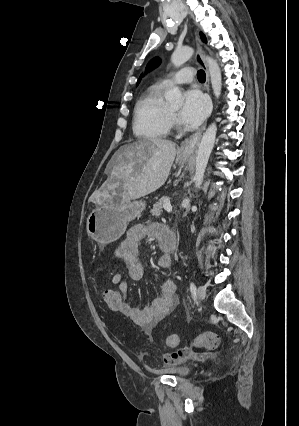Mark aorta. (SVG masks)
Returning a JSON list of instances; mask_svg holds the SVG:
<instances>
[{"mask_svg":"<svg viewBox=\"0 0 299 426\" xmlns=\"http://www.w3.org/2000/svg\"><path fill=\"white\" fill-rule=\"evenodd\" d=\"M193 54H194V49L188 46L177 49L173 52L171 56V62L174 64L175 67H180L186 61H188ZM204 60L208 65L213 93L215 97L218 99L221 95V88H222V75H221L220 67L217 61L214 60L212 57L205 56ZM165 99L167 102L171 104H175V105L183 104V97L178 87L171 88L166 93ZM216 133H217V126H216V123L214 122L210 124L209 127L206 129L199 143V147L196 154V171L194 176V183L197 189H199L202 185L208 160L212 152V149L214 147ZM193 208H196V207L194 206Z\"/></svg>","mask_w":299,"mask_h":426,"instance_id":"762f6f07","label":"aorta"}]
</instances>
